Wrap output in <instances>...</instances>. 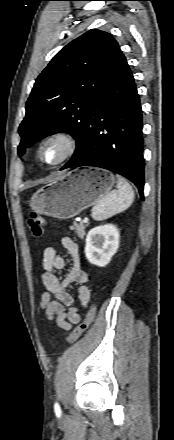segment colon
I'll return each mask as SVG.
<instances>
[{
  "mask_svg": "<svg viewBox=\"0 0 174 440\" xmlns=\"http://www.w3.org/2000/svg\"><path fill=\"white\" fill-rule=\"evenodd\" d=\"M28 225L30 227L32 234L35 237L39 238L42 236L45 226V220L41 215H39L36 212H32L28 220ZM93 318H94V306L91 305L85 315L84 320L81 323H79L70 333L68 337V343L72 344L77 340H79L83 336L85 331L89 328L90 324L93 321Z\"/></svg>",
  "mask_w": 174,
  "mask_h": 440,
  "instance_id": "1",
  "label": "colon"
}]
</instances>
